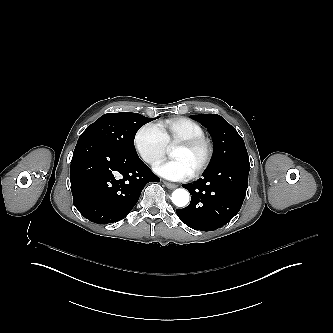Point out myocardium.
Listing matches in <instances>:
<instances>
[{"label": "myocardium", "instance_id": "obj_1", "mask_svg": "<svg viewBox=\"0 0 333 333\" xmlns=\"http://www.w3.org/2000/svg\"><path fill=\"white\" fill-rule=\"evenodd\" d=\"M181 145L191 149L198 150L201 152V159L194 171V177L201 175L209 166L214 149L212 143L205 137L190 138L181 142Z\"/></svg>", "mask_w": 333, "mask_h": 333}]
</instances>
